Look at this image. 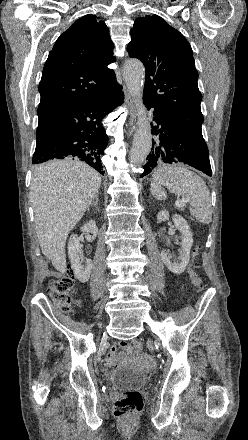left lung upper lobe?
Listing matches in <instances>:
<instances>
[{
    "instance_id": "obj_1",
    "label": "left lung upper lobe",
    "mask_w": 248,
    "mask_h": 440,
    "mask_svg": "<svg viewBox=\"0 0 248 440\" xmlns=\"http://www.w3.org/2000/svg\"><path fill=\"white\" fill-rule=\"evenodd\" d=\"M130 34L129 56L146 69L144 98L155 111L202 132V95L188 41L157 15L137 18Z\"/></svg>"
}]
</instances>
